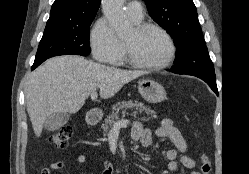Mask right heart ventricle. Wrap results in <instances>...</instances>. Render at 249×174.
<instances>
[{
    "mask_svg": "<svg viewBox=\"0 0 249 174\" xmlns=\"http://www.w3.org/2000/svg\"><path fill=\"white\" fill-rule=\"evenodd\" d=\"M136 23H139L140 21H135Z\"/></svg>",
    "mask_w": 249,
    "mask_h": 174,
    "instance_id": "1",
    "label": "right heart ventricle"
}]
</instances>
